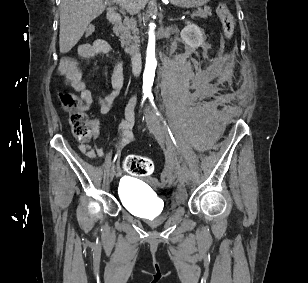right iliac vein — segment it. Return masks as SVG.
<instances>
[{
  "mask_svg": "<svg viewBox=\"0 0 308 283\" xmlns=\"http://www.w3.org/2000/svg\"><path fill=\"white\" fill-rule=\"evenodd\" d=\"M114 175H115V166H113L110 170V173H109V176H110V179L112 180L114 178Z\"/></svg>",
  "mask_w": 308,
  "mask_h": 283,
  "instance_id": "obj_1",
  "label": "right iliac vein"
}]
</instances>
